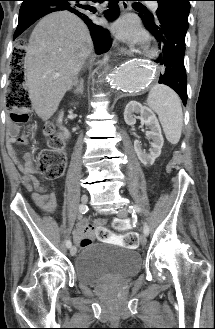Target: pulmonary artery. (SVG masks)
Segmentation results:
<instances>
[{
	"label": "pulmonary artery",
	"instance_id": "e3ab8cb5",
	"mask_svg": "<svg viewBox=\"0 0 215 329\" xmlns=\"http://www.w3.org/2000/svg\"><path fill=\"white\" fill-rule=\"evenodd\" d=\"M150 7L153 11H156L158 9V4L157 2H151Z\"/></svg>",
	"mask_w": 215,
	"mask_h": 329
}]
</instances>
